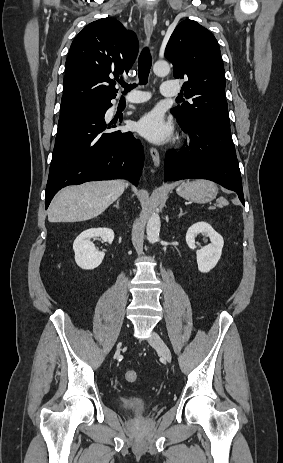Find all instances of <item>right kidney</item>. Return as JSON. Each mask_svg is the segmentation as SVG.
<instances>
[{"mask_svg":"<svg viewBox=\"0 0 283 463\" xmlns=\"http://www.w3.org/2000/svg\"><path fill=\"white\" fill-rule=\"evenodd\" d=\"M93 237H101L103 241L111 244L114 240V232L109 228H91L83 231L74 241L76 264L85 270L97 268L103 261L105 253L99 252L90 241Z\"/></svg>","mask_w":283,"mask_h":463,"instance_id":"right-kidney-1","label":"right kidney"}]
</instances>
